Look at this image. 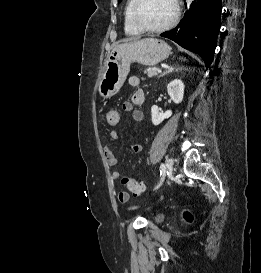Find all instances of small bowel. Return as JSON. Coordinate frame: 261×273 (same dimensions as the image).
Wrapping results in <instances>:
<instances>
[{"label": "small bowel", "instance_id": "1", "mask_svg": "<svg viewBox=\"0 0 261 273\" xmlns=\"http://www.w3.org/2000/svg\"><path fill=\"white\" fill-rule=\"evenodd\" d=\"M129 84L133 87H137L140 85V79L137 76H132L129 79ZM145 103V94L142 90H137L131 99V102L126 101L123 103L122 108L126 112H131L132 118L139 123L144 122V113L141 109H133V105L137 107L143 106ZM118 138V133L117 131H111L108 135V143L105 146L104 149V154L107 160L108 165L114 166L117 164V158L114 155V153L111 150V143L116 141ZM131 150L134 153H139L142 151V144L138 142H134L131 144ZM120 177V172L117 170H113L111 172V178L114 180L119 179ZM118 199L121 203H126L129 200V194L125 191H119L118 192Z\"/></svg>", "mask_w": 261, "mask_h": 273}]
</instances>
